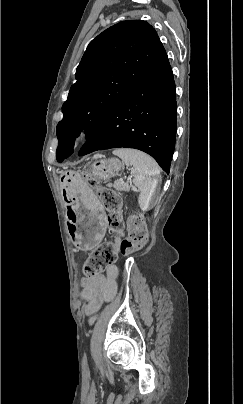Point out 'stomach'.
Listing matches in <instances>:
<instances>
[{"label": "stomach", "mask_w": 243, "mask_h": 404, "mask_svg": "<svg viewBox=\"0 0 243 404\" xmlns=\"http://www.w3.org/2000/svg\"><path fill=\"white\" fill-rule=\"evenodd\" d=\"M122 163L117 158L98 159L91 174L99 180H108L119 174ZM62 195L67 204V231L75 246L82 251L94 249L106 230V214L101 203L84 178L74 171L61 176Z\"/></svg>", "instance_id": "obj_1"}]
</instances>
